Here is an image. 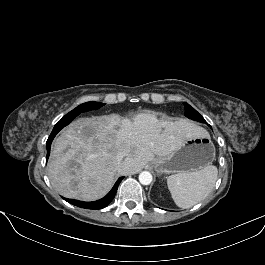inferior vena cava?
<instances>
[{"label": "inferior vena cava", "mask_w": 265, "mask_h": 265, "mask_svg": "<svg viewBox=\"0 0 265 265\" xmlns=\"http://www.w3.org/2000/svg\"><path fill=\"white\" fill-rule=\"evenodd\" d=\"M123 158H124V156L122 154H119L117 156L118 167H121L122 162H123Z\"/></svg>", "instance_id": "602c4592"}]
</instances>
